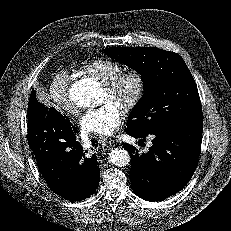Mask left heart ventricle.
Returning <instances> with one entry per match:
<instances>
[{"instance_id":"obj_1","label":"left heart ventricle","mask_w":231,"mask_h":231,"mask_svg":"<svg viewBox=\"0 0 231 231\" xmlns=\"http://www.w3.org/2000/svg\"><path fill=\"white\" fill-rule=\"evenodd\" d=\"M135 88V84L132 81H129L126 83V85L123 87L120 97L119 98H112L108 95V93L104 90L103 91V97H102V103H106L108 101H112L120 106L121 102L126 100L133 92Z\"/></svg>"}]
</instances>
